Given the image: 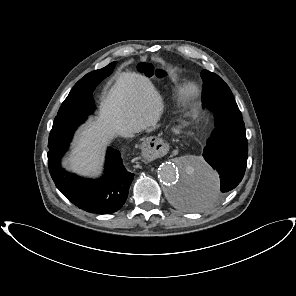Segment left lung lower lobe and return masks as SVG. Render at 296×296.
<instances>
[{"instance_id": "0a47b994", "label": "left lung lower lobe", "mask_w": 296, "mask_h": 296, "mask_svg": "<svg viewBox=\"0 0 296 296\" xmlns=\"http://www.w3.org/2000/svg\"><path fill=\"white\" fill-rule=\"evenodd\" d=\"M203 108L214 111L215 129L203 150L206 162L220 176V188L204 193L186 181L177 190V200L184 209H205L223 198L242 180L248 158V141L241 112L234 99L211 98L203 101Z\"/></svg>"}]
</instances>
